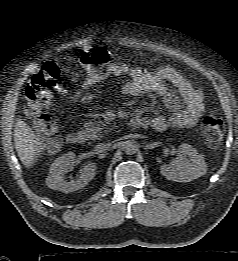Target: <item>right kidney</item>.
I'll use <instances>...</instances> for the list:
<instances>
[{
  "instance_id": "right-kidney-1",
  "label": "right kidney",
  "mask_w": 238,
  "mask_h": 261,
  "mask_svg": "<svg viewBox=\"0 0 238 261\" xmlns=\"http://www.w3.org/2000/svg\"><path fill=\"white\" fill-rule=\"evenodd\" d=\"M75 153L69 152L57 158L50 167L49 175L46 179V185L53 190H59L64 193L74 192L85 187L95 176L96 166L88 163L80 170L79 178L69 182L64 180L66 174L75 165Z\"/></svg>"
}]
</instances>
